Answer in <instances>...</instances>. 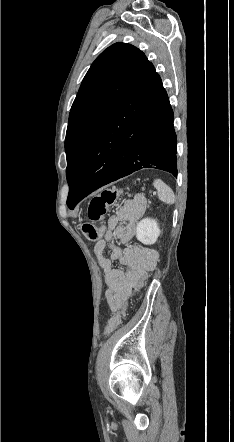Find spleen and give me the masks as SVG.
I'll list each match as a JSON object with an SVG mask.
<instances>
[{"instance_id":"spleen-1","label":"spleen","mask_w":234,"mask_h":442,"mask_svg":"<svg viewBox=\"0 0 234 442\" xmlns=\"http://www.w3.org/2000/svg\"><path fill=\"white\" fill-rule=\"evenodd\" d=\"M154 187L158 192V197L161 201L167 204H173L175 202V196L173 190L165 184L161 179L157 178L153 182Z\"/></svg>"}]
</instances>
